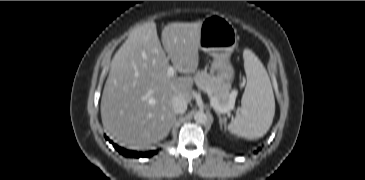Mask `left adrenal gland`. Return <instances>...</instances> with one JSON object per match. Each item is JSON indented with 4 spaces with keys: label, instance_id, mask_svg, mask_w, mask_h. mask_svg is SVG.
<instances>
[{
    "label": "left adrenal gland",
    "instance_id": "a2214340",
    "mask_svg": "<svg viewBox=\"0 0 365 180\" xmlns=\"http://www.w3.org/2000/svg\"><path fill=\"white\" fill-rule=\"evenodd\" d=\"M217 116L219 118L220 128L222 129L224 126V129H225L226 118L221 117V114L219 112H217Z\"/></svg>",
    "mask_w": 365,
    "mask_h": 180
}]
</instances>
